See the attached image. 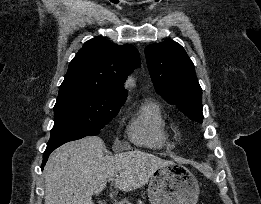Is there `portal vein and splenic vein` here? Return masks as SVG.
I'll use <instances>...</instances> for the list:
<instances>
[{
  "label": "portal vein and splenic vein",
  "instance_id": "1",
  "mask_svg": "<svg viewBox=\"0 0 261 204\" xmlns=\"http://www.w3.org/2000/svg\"><path fill=\"white\" fill-rule=\"evenodd\" d=\"M115 177H116V176H112V177H110L108 180H109V181H113V180L115 179Z\"/></svg>",
  "mask_w": 261,
  "mask_h": 204
}]
</instances>
